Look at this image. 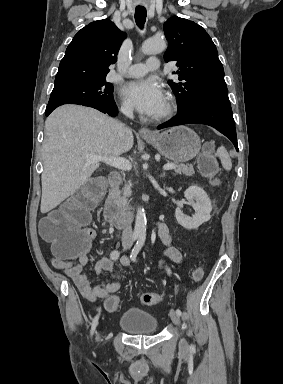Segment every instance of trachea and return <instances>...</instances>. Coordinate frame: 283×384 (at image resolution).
I'll use <instances>...</instances> for the list:
<instances>
[{"label": "trachea", "instance_id": "3493384b", "mask_svg": "<svg viewBox=\"0 0 283 384\" xmlns=\"http://www.w3.org/2000/svg\"><path fill=\"white\" fill-rule=\"evenodd\" d=\"M146 15H147L146 8L137 7L135 9V22L137 26L141 28V30L144 28Z\"/></svg>", "mask_w": 283, "mask_h": 384}]
</instances>
